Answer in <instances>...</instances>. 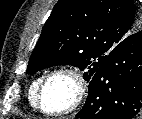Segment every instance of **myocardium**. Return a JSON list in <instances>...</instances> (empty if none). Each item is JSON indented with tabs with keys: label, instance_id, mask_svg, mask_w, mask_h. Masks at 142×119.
<instances>
[{
	"label": "myocardium",
	"instance_id": "f54148a6",
	"mask_svg": "<svg viewBox=\"0 0 142 119\" xmlns=\"http://www.w3.org/2000/svg\"><path fill=\"white\" fill-rule=\"evenodd\" d=\"M61 75L69 77L74 82V85H75L74 98L72 102L70 103V105L62 110H58V111L47 110L42 105L43 91L47 83L49 82V80H51L52 78L56 76H61ZM87 88H88V84H87L86 77L79 69L70 67V66H64V67L54 69L50 71L49 73H47L39 84V87L35 95L36 108L43 114L49 115V116L69 115L81 106V104L83 103L86 97Z\"/></svg>",
	"mask_w": 142,
	"mask_h": 119
}]
</instances>
